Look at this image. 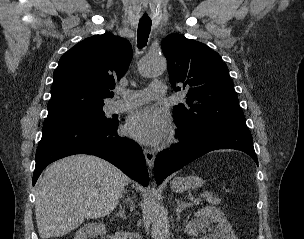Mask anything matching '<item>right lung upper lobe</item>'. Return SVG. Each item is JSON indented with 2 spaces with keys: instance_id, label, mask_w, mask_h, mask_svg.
Wrapping results in <instances>:
<instances>
[{
  "instance_id": "obj_1",
  "label": "right lung upper lobe",
  "mask_w": 304,
  "mask_h": 239,
  "mask_svg": "<svg viewBox=\"0 0 304 239\" xmlns=\"http://www.w3.org/2000/svg\"><path fill=\"white\" fill-rule=\"evenodd\" d=\"M132 58L129 41L110 33L89 37L59 60L53 73L48 117H58L104 106V98L126 73Z\"/></svg>"
}]
</instances>
